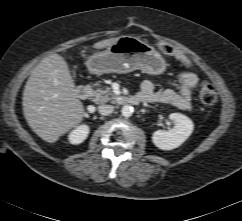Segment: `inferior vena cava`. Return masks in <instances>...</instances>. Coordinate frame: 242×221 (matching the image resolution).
Masks as SVG:
<instances>
[{
  "mask_svg": "<svg viewBox=\"0 0 242 221\" xmlns=\"http://www.w3.org/2000/svg\"><path fill=\"white\" fill-rule=\"evenodd\" d=\"M98 111L101 115L107 116L113 113L114 111V106L112 105H100L98 107Z\"/></svg>",
  "mask_w": 242,
  "mask_h": 221,
  "instance_id": "1",
  "label": "inferior vena cava"
}]
</instances>
